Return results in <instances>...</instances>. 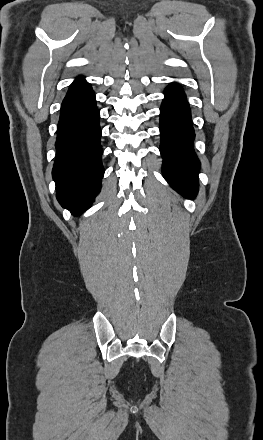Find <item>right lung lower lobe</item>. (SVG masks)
Returning <instances> with one entry per match:
<instances>
[{
  "mask_svg": "<svg viewBox=\"0 0 263 440\" xmlns=\"http://www.w3.org/2000/svg\"><path fill=\"white\" fill-rule=\"evenodd\" d=\"M100 113L83 76L71 84L62 102L52 175L59 203L79 215L99 193L104 174Z\"/></svg>",
  "mask_w": 263,
  "mask_h": 440,
  "instance_id": "98d812e1",
  "label": "right lung lower lobe"
}]
</instances>
